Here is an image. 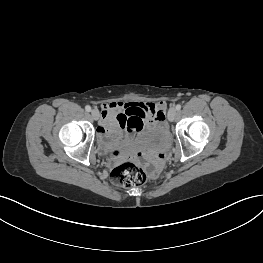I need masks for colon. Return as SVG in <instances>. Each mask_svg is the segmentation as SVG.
<instances>
[{"label": "colon", "instance_id": "5ec220e1", "mask_svg": "<svg viewBox=\"0 0 263 263\" xmlns=\"http://www.w3.org/2000/svg\"><path fill=\"white\" fill-rule=\"evenodd\" d=\"M111 179L119 186L130 188L143 184L146 180V173L139 164L124 162L113 168Z\"/></svg>", "mask_w": 263, "mask_h": 263}]
</instances>
